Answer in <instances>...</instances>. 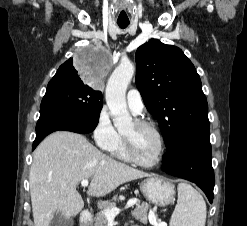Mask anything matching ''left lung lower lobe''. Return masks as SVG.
<instances>
[{"mask_svg":"<svg viewBox=\"0 0 247 226\" xmlns=\"http://www.w3.org/2000/svg\"><path fill=\"white\" fill-rule=\"evenodd\" d=\"M211 157L209 127L198 128L167 148L161 169L173 176L194 182L212 203L214 171Z\"/></svg>","mask_w":247,"mask_h":226,"instance_id":"obj_1","label":"left lung lower lobe"}]
</instances>
